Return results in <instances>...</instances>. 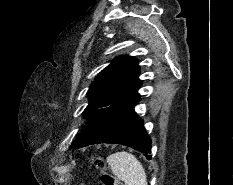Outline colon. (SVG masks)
Listing matches in <instances>:
<instances>
[{"label":"colon","instance_id":"5ec220e1","mask_svg":"<svg viewBox=\"0 0 233 185\" xmlns=\"http://www.w3.org/2000/svg\"><path fill=\"white\" fill-rule=\"evenodd\" d=\"M96 165L101 169L99 185H119L116 178L105 169V163L101 158L96 159Z\"/></svg>","mask_w":233,"mask_h":185}]
</instances>
